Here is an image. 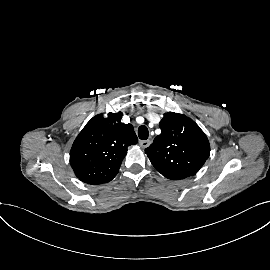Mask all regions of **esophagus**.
Instances as JSON below:
<instances>
[{"mask_svg":"<svg viewBox=\"0 0 270 270\" xmlns=\"http://www.w3.org/2000/svg\"><path fill=\"white\" fill-rule=\"evenodd\" d=\"M139 144L142 148H147L150 145V140H141Z\"/></svg>","mask_w":270,"mask_h":270,"instance_id":"obj_1","label":"esophagus"}]
</instances>
